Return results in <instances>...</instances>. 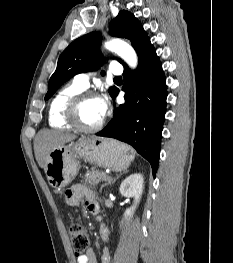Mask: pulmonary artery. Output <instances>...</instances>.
Segmentation results:
<instances>
[{"mask_svg":"<svg viewBox=\"0 0 233 263\" xmlns=\"http://www.w3.org/2000/svg\"><path fill=\"white\" fill-rule=\"evenodd\" d=\"M123 72V69L120 65L119 62L117 61H112L110 65V73L114 75H121ZM91 73H79L75 76L74 82L79 85L81 88L86 89L89 86V81H90Z\"/></svg>","mask_w":233,"mask_h":263,"instance_id":"obj_1","label":"pulmonary artery"}]
</instances>
